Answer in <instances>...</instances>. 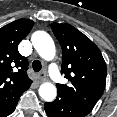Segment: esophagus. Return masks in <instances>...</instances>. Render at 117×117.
I'll return each instance as SVG.
<instances>
[{
	"label": "esophagus",
	"instance_id": "esophagus-1",
	"mask_svg": "<svg viewBox=\"0 0 117 117\" xmlns=\"http://www.w3.org/2000/svg\"><path fill=\"white\" fill-rule=\"evenodd\" d=\"M38 79H39L40 82L45 81V79H46V73L44 71L41 72V73H39Z\"/></svg>",
	"mask_w": 117,
	"mask_h": 117
}]
</instances>
